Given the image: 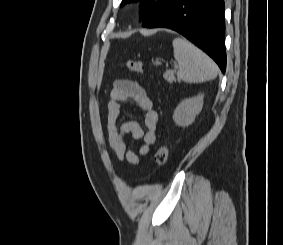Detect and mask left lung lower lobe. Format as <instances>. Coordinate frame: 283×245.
Segmentation results:
<instances>
[{
	"mask_svg": "<svg viewBox=\"0 0 283 245\" xmlns=\"http://www.w3.org/2000/svg\"><path fill=\"white\" fill-rule=\"evenodd\" d=\"M224 10V0H173L145 27L177 31L206 52L225 73Z\"/></svg>",
	"mask_w": 283,
	"mask_h": 245,
	"instance_id": "1",
	"label": "left lung lower lobe"
}]
</instances>
